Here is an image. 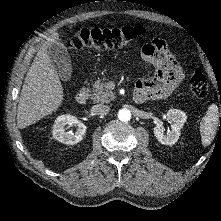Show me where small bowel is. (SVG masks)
Listing matches in <instances>:
<instances>
[{"mask_svg":"<svg viewBox=\"0 0 221 221\" xmlns=\"http://www.w3.org/2000/svg\"><path fill=\"white\" fill-rule=\"evenodd\" d=\"M141 56L154 67L155 74L151 78L140 79L135 92L144 94L147 100L165 99L170 96L182 83L184 73L170 53L166 41L155 38L144 44Z\"/></svg>","mask_w":221,"mask_h":221,"instance_id":"c3829d8e","label":"small bowel"}]
</instances>
